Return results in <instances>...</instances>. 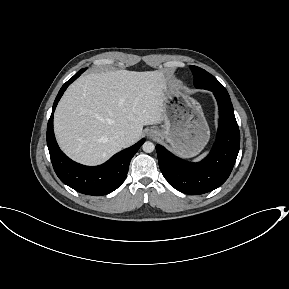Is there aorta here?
I'll list each match as a JSON object with an SVG mask.
<instances>
[{
  "mask_svg": "<svg viewBox=\"0 0 289 289\" xmlns=\"http://www.w3.org/2000/svg\"><path fill=\"white\" fill-rule=\"evenodd\" d=\"M142 149L144 152L146 153H151L154 151L155 149V145L150 142V141H146L143 145H142Z\"/></svg>",
  "mask_w": 289,
  "mask_h": 289,
  "instance_id": "1",
  "label": "aorta"
}]
</instances>
